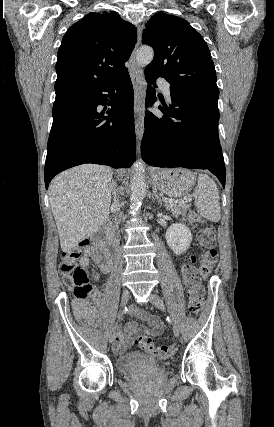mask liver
<instances>
[{"mask_svg":"<svg viewBox=\"0 0 274 427\" xmlns=\"http://www.w3.org/2000/svg\"><path fill=\"white\" fill-rule=\"evenodd\" d=\"M112 174L107 166L83 164L52 180L48 194L62 251L75 249L108 219L111 196L116 192Z\"/></svg>","mask_w":274,"mask_h":427,"instance_id":"obj_1","label":"liver"}]
</instances>
